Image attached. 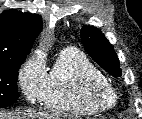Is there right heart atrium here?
Here are the masks:
<instances>
[{"label":"right heart atrium","mask_w":142,"mask_h":119,"mask_svg":"<svg viewBox=\"0 0 142 119\" xmlns=\"http://www.w3.org/2000/svg\"><path fill=\"white\" fill-rule=\"evenodd\" d=\"M45 76V60L40 53L28 58L19 70L18 85L29 102H36L41 99Z\"/></svg>","instance_id":"d8ad5b80"}]
</instances>
